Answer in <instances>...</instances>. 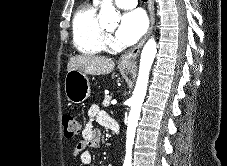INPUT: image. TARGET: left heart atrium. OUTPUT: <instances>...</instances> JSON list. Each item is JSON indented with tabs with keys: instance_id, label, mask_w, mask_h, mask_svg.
I'll return each instance as SVG.
<instances>
[{
	"instance_id": "1",
	"label": "left heart atrium",
	"mask_w": 227,
	"mask_h": 166,
	"mask_svg": "<svg viewBox=\"0 0 227 166\" xmlns=\"http://www.w3.org/2000/svg\"><path fill=\"white\" fill-rule=\"evenodd\" d=\"M147 27L148 20L142 10L127 12L121 17L116 30V39L121 44L131 45L145 33Z\"/></svg>"
}]
</instances>
